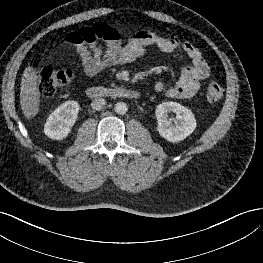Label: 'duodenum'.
Wrapping results in <instances>:
<instances>
[{"label":"duodenum","instance_id":"1","mask_svg":"<svg viewBox=\"0 0 263 263\" xmlns=\"http://www.w3.org/2000/svg\"><path fill=\"white\" fill-rule=\"evenodd\" d=\"M86 94L90 98H125V99H138L140 93L136 90L117 87V88H108L103 86H91L86 90Z\"/></svg>","mask_w":263,"mask_h":263}]
</instances>
